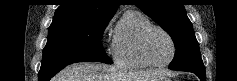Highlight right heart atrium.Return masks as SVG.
<instances>
[{
    "label": "right heart atrium",
    "instance_id": "obj_1",
    "mask_svg": "<svg viewBox=\"0 0 237 81\" xmlns=\"http://www.w3.org/2000/svg\"><path fill=\"white\" fill-rule=\"evenodd\" d=\"M112 23H113V20H109L107 22V24L105 25L104 29H103V32H102V37L105 38L106 35L108 34V32L110 31L111 29V26H112Z\"/></svg>",
    "mask_w": 237,
    "mask_h": 81
}]
</instances>
